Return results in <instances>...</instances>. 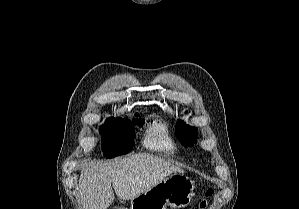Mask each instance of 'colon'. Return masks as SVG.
I'll use <instances>...</instances> for the list:
<instances>
[{
  "mask_svg": "<svg viewBox=\"0 0 299 209\" xmlns=\"http://www.w3.org/2000/svg\"><path fill=\"white\" fill-rule=\"evenodd\" d=\"M214 193L212 188H206L202 192V200L200 202V208L203 209L206 206V199L210 198Z\"/></svg>",
  "mask_w": 299,
  "mask_h": 209,
  "instance_id": "5ec220e1",
  "label": "colon"
}]
</instances>
